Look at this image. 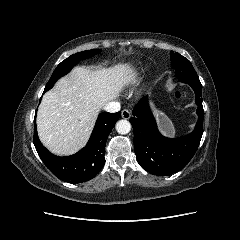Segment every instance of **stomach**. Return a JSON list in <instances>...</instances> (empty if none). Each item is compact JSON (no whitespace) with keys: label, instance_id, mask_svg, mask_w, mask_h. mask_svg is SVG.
<instances>
[{"label":"stomach","instance_id":"1","mask_svg":"<svg viewBox=\"0 0 240 240\" xmlns=\"http://www.w3.org/2000/svg\"><path fill=\"white\" fill-rule=\"evenodd\" d=\"M156 115H157V119L160 125L161 130L163 131L164 134L172 136L175 134V130L173 127L172 122L169 120V118L163 114L160 111L156 110Z\"/></svg>","mask_w":240,"mask_h":240}]
</instances>
